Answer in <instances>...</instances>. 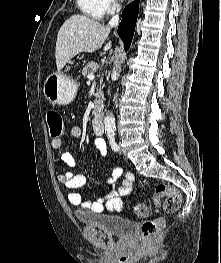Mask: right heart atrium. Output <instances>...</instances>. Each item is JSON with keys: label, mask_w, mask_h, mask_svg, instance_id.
<instances>
[{"label": "right heart atrium", "mask_w": 221, "mask_h": 263, "mask_svg": "<svg viewBox=\"0 0 221 263\" xmlns=\"http://www.w3.org/2000/svg\"><path fill=\"white\" fill-rule=\"evenodd\" d=\"M104 13H113L119 7L118 0H100Z\"/></svg>", "instance_id": "d8ad5b80"}]
</instances>
